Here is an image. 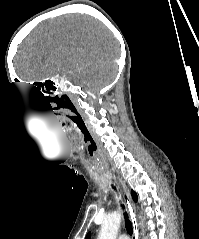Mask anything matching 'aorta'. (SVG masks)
<instances>
[{
    "mask_svg": "<svg viewBox=\"0 0 199 239\" xmlns=\"http://www.w3.org/2000/svg\"><path fill=\"white\" fill-rule=\"evenodd\" d=\"M121 222L120 211H115L105 217L97 239H116ZM143 224V220H142Z\"/></svg>",
    "mask_w": 199,
    "mask_h": 239,
    "instance_id": "1",
    "label": "aorta"
}]
</instances>
